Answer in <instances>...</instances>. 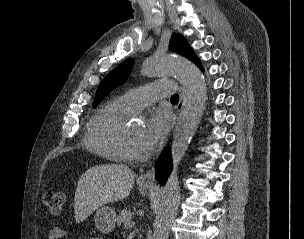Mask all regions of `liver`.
Instances as JSON below:
<instances>
[{"label": "liver", "mask_w": 304, "mask_h": 239, "mask_svg": "<svg viewBox=\"0 0 304 239\" xmlns=\"http://www.w3.org/2000/svg\"><path fill=\"white\" fill-rule=\"evenodd\" d=\"M135 173L123 164H105L86 170L80 177L74 198V213L81 223L99 207L127 198Z\"/></svg>", "instance_id": "1"}]
</instances>
